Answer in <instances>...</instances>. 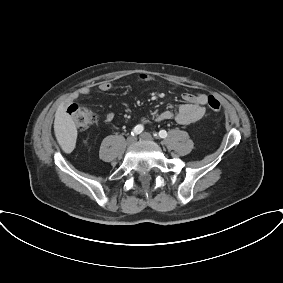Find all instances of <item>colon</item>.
Wrapping results in <instances>:
<instances>
[{
  "instance_id": "1",
  "label": "colon",
  "mask_w": 283,
  "mask_h": 283,
  "mask_svg": "<svg viewBox=\"0 0 283 283\" xmlns=\"http://www.w3.org/2000/svg\"><path fill=\"white\" fill-rule=\"evenodd\" d=\"M207 105L213 113L220 111V102L212 95L207 97ZM67 114L79 129H86L94 122L93 113L76 104H72L68 107Z\"/></svg>"
}]
</instances>
